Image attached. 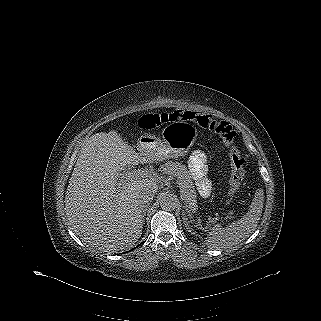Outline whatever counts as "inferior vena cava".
<instances>
[{
	"label": "inferior vena cava",
	"instance_id": "obj_1",
	"mask_svg": "<svg viewBox=\"0 0 321 321\" xmlns=\"http://www.w3.org/2000/svg\"><path fill=\"white\" fill-rule=\"evenodd\" d=\"M155 189L151 186H144L139 194V201L140 204L148 205L154 198L155 196Z\"/></svg>",
	"mask_w": 321,
	"mask_h": 321
}]
</instances>
